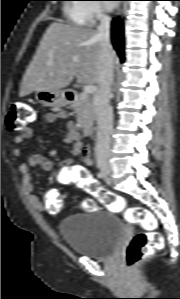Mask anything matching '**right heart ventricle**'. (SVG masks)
Wrapping results in <instances>:
<instances>
[{
    "label": "right heart ventricle",
    "instance_id": "e07e8e85",
    "mask_svg": "<svg viewBox=\"0 0 180 299\" xmlns=\"http://www.w3.org/2000/svg\"><path fill=\"white\" fill-rule=\"evenodd\" d=\"M87 5L85 4H71L66 8L68 20L77 26H85L91 22L87 12Z\"/></svg>",
    "mask_w": 180,
    "mask_h": 299
}]
</instances>
